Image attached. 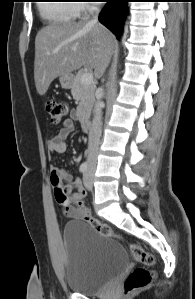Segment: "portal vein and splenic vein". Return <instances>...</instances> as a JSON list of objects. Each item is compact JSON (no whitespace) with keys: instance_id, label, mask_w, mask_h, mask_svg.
Returning <instances> with one entry per match:
<instances>
[{"instance_id":"portal-vein-and-splenic-vein-1","label":"portal vein and splenic vein","mask_w":195,"mask_h":299,"mask_svg":"<svg viewBox=\"0 0 195 299\" xmlns=\"http://www.w3.org/2000/svg\"><path fill=\"white\" fill-rule=\"evenodd\" d=\"M83 84H91L93 82V74L91 72H85L81 77Z\"/></svg>"}]
</instances>
